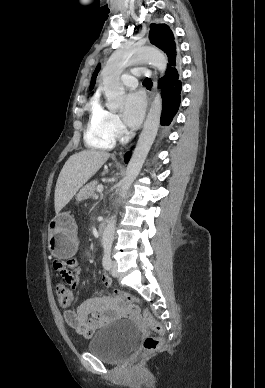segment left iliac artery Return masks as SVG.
Returning a JSON list of instances; mask_svg holds the SVG:
<instances>
[{
  "mask_svg": "<svg viewBox=\"0 0 265 388\" xmlns=\"http://www.w3.org/2000/svg\"><path fill=\"white\" fill-rule=\"evenodd\" d=\"M103 267L106 270H110L111 268V245L105 244L104 245V255L102 259Z\"/></svg>",
  "mask_w": 265,
  "mask_h": 388,
  "instance_id": "1",
  "label": "left iliac artery"
}]
</instances>
